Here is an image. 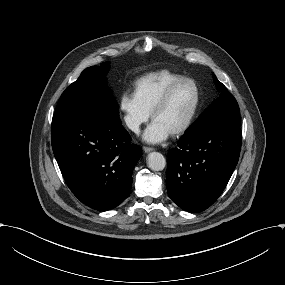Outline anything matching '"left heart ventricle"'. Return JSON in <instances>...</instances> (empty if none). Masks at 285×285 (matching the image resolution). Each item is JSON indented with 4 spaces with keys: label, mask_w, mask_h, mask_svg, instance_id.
Instances as JSON below:
<instances>
[{
    "label": "left heart ventricle",
    "mask_w": 285,
    "mask_h": 285,
    "mask_svg": "<svg viewBox=\"0 0 285 285\" xmlns=\"http://www.w3.org/2000/svg\"><path fill=\"white\" fill-rule=\"evenodd\" d=\"M196 100V90L192 83L185 82L172 93L168 103L160 109L154 119L160 121L171 132L185 122Z\"/></svg>",
    "instance_id": "left-heart-ventricle-1"
}]
</instances>
